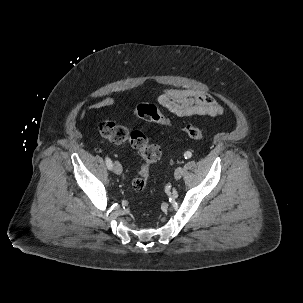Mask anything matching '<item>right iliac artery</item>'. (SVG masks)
I'll list each match as a JSON object with an SVG mask.
<instances>
[{
  "label": "right iliac artery",
  "mask_w": 303,
  "mask_h": 303,
  "mask_svg": "<svg viewBox=\"0 0 303 303\" xmlns=\"http://www.w3.org/2000/svg\"><path fill=\"white\" fill-rule=\"evenodd\" d=\"M105 161H106V165H107L108 169L111 170L113 168V163H112L111 159L109 157H106Z\"/></svg>",
  "instance_id": "1"
}]
</instances>
